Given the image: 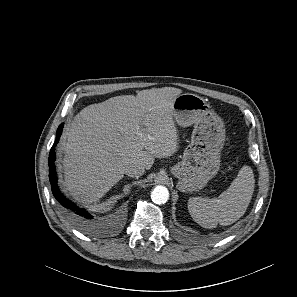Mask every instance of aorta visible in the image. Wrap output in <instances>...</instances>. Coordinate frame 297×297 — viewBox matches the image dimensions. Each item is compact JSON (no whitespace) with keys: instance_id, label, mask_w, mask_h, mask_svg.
<instances>
[{"instance_id":"762f6f07","label":"aorta","mask_w":297,"mask_h":297,"mask_svg":"<svg viewBox=\"0 0 297 297\" xmlns=\"http://www.w3.org/2000/svg\"><path fill=\"white\" fill-rule=\"evenodd\" d=\"M151 199L156 204H164L169 199V191L165 186H156L152 193Z\"/></svg>"}]
</instances>
